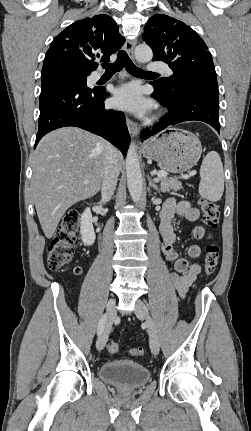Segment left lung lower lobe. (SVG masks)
<instances>
[{
	"label": "left lung lower lobe",
	"mask_w": 251,
	"mask_h": 431,
	"mask_svg": "<svg viewBox=\"0 0 251 431\" xmlns=\"http://www.w3.org/2000/svg\"><path fill=\"white\" fill-rule=\"evenodd\" d=\"M151 84L155 89L151 96L168 109V114L152 130H142L141 139L145 140L169 126L190 120L203 121L220 131L218 85L201 82L181 87L175 95L165 96Z\"/></svg>",
	"instance_id": "left-lung-lower-lobe-1"
}]
</instances>
